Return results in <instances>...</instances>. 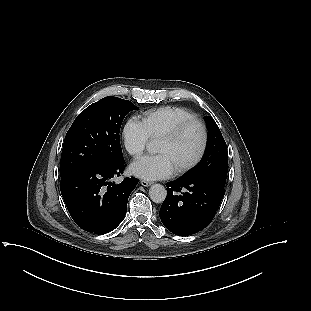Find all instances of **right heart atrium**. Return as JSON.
Instances as JSON below:
<instances>
[{
  "mask_svg": "<svg viewBox=\"0 0 311 311\" xmlns=\"http://www.w3.org/2000/svg\"><path fill=\"white\" fill-rule=\"evenodd\" d=\"M122 136L126 150L134 158L142 155L150 140L144 124L135 117L126 121Z\"/></svg>",
  "mask_w": 311,
  "mask_h": 311,
  "instance_id": "obj_1",
  "label": "right heart atrium"
}]
</instances>
